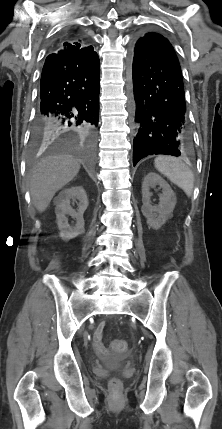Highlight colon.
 Masks as SVG:
<instances>
[{
	"instance_id": "obj_1",
	"label": "colon",
	"mask_w": 222,
	"mask_h": 429,
	"mask_svg": "<svg viewBox=\"0 0 222 429\" xmlns=\"http://www.w3.org/2000/svg\"><path fill=\"white\" fill-rule=\"evenodd\" d=\"M110 347H111V349H112V350H114V351H116V352H120V353H122V352L127 351V349H128V344H127V342H126V341H124V340L115 339V340H112V341L110 342ZM110 386H111L113 389H118V388L120 387V380H119V379H117V378H113V379L110 381Z\"/></svg>"
}]
</instances>
